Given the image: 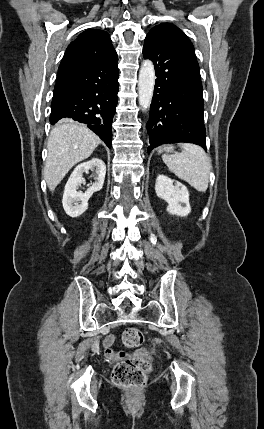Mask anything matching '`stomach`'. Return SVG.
I'll use <instances>...</instances> for the list:
<instances>
[{"label":"stomach","mask_w":264,"mask_h":429,"mask_svg":"<svg viewBox=\"0 0 264 429\" xmlns=\"http://www.w3.org/2000/svg\"><path fill=\"white\" fill-rule=\"evenodd\" d=\"M159 153L161 152H166V153H170L173 152V146H164L163 148H160Z\"/></svg>","instance_id":"obj_1"}]
</instances>
